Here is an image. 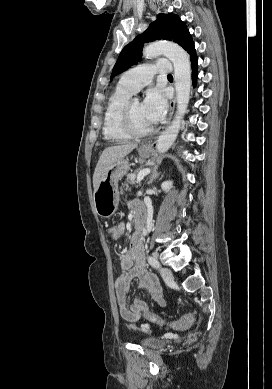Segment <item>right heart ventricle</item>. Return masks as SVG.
Listing matches in <instances>:
<instances>
[{
	"instance_id": "obj_1",
	"label": "right heart ventricle",
	"mask_w": 272,
	"mask_h": 389,
	"mask_svg": "<svg viewBox=\"0 0 272 389\" xmlns=\"http://www.w3.org/2000/svg\"><path fill=\"white\" fill-rule=\"evenodd\" d=\"M132 94L133 92L130 89L119 83L109 97L103 122V134L107 140L120 142L130 139L131 136L121 126L120 116L123 107Z\"/></svg>"
}]
</instances>
